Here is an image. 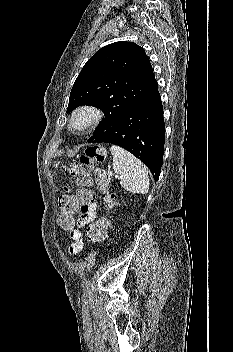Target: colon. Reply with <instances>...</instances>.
<instances>
[{
  "label": "colon",
  "instance_id": "1",
  "mask_svg": "<svg viewBox=\"0 0 233 352\" xmlns=\"http://www.w3.org/2000/svg\"><path fill=\"white\" fill-rule=\"evenodd\" d=\"M106 152L101 146H91L79 157L70 170V175L76 178L78 189L75 196H62L59 201L60 212L58 224L62 229L71 230L75 225L74 214L78 207H86L93 199V193L88 189L91 177L87 170L104 162ZM97 187L105 194L108 209L115 206L114 196L108 191L109 176L107 172L98 168L95 173ZM110 220L102 217L89 225L87 237L91 242H103L107 237Z\"/></svg>",
  "mask_w": 233,
  "mask_h": 352
}]
</instances>
